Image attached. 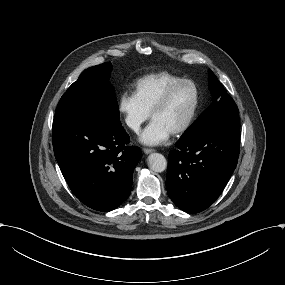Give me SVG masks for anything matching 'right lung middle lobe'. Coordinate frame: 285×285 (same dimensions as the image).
Returning <instances> with one entry per match:
<instances>
[{"label":"right lung middle lobe","instance_id":"right-lung-middle-lobe-1","mask_svg":"<svg viewBox=\"0 0 285 285\" xmlns=\"http://www.w3.org/2000/svg\"><path fill=\"white\" fill-rule=\"evenodd\" d=\"M110 62L86 69L61 97L55 118L88 117L119 121Z\"/></svg>","mask_w":285,"mask_h":285}]
</instances>
